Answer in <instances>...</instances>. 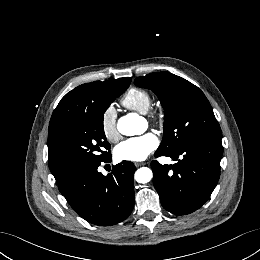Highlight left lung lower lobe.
Segmentation results:
<instances>
[{
	"mask_svg": "<svg viewBox=\"0 0 260 260\" xmlns=\"http://www.w3.org/2000/svg\"><path fill=\"white\" fill-rule=\"evenodd\" d=\"M221 140H203L174 151L157 150L155 156L181 158L174 165L151 162L153 184L162 206L175 215L199 209L210 197L220 176Z\"/></svg>",
	"mask_w": 260,
	"mask_h": 260,
	"instance_id": "1",
	"label": "left lung lower lobe"
}]
</instances>
